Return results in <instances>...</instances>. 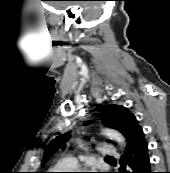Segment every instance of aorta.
<instances>
[{
    "instance_id": "1",
    "label": "aorta",
    "mask_w": 170,
    "mask_h": 173,
    "mask_svg": "<svg viewBox=\"0 0 170 173\" xmlns=\"http://www.w3.org/2000/svg\"><path fill=\"white\" fill-rule=\"evenodd\" d=\"M103 134L109 137L110 139L115 140L118 142L121 146L125 144V140L123 136L116 130L113 129H105L103 130Z\"/></svg>"
}]
</instances>
